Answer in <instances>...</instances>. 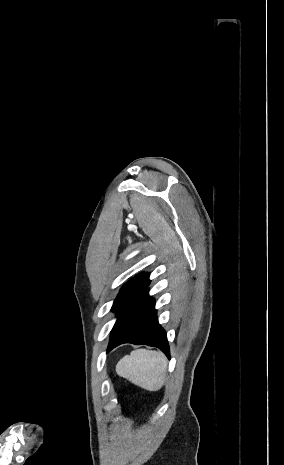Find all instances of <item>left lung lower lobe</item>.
I'll return each mask as SVG.
<instances>
[{"instance_id":"left-lung-lower-lobe-1","label":"left lung lower lobe","mask_w":284,"mask_h":465,"mask_svg":"<svg viewBox=\"0 0 284 465\" xmlns=\"http://www.w3.org/2000/svg\"><path fill=\"white\" fill-rule=\"evenodd\" d=\"M154 305L147 288L128 303L111 330L107 352L123 343L144 344L159 348L170 358L166 332L158 323Z\"/></svg>"}]
</instances>
